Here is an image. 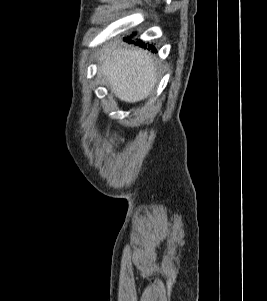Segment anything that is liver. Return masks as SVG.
Wrapping results in <instances>:
<instances>
[{
  "label": "liver",
  "instance_id": "1",
  "mask_svg": "<svg viewBox=\"0 0 267 301\" xmlns=\"http://www.w3.org/2000/svg\"><path fill=\"white\" fill-rule=\"evenodd\" d=\"M100 73L120 100L135 103L148 97L157 84L151 54L139 48L109 45L101 56Z\"/></svg>",
  "mask_w": 267,
  "mask_h": 301
}]
</instances>
